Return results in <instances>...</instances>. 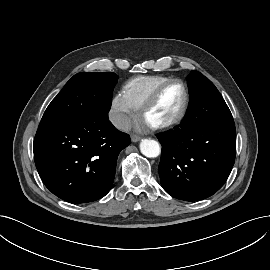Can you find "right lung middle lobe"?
<instances>
[{
	"label": "right lung middle lobe",
	"mask_w": 270,
	"mask_h": 270,
	"mask_svg": "<svg viewBox=\"0 0 270 270\" xmlns=\"http://www.w3.org/2000/svg\"><path fill=\"white\" fill-rule=\"evenodd\" d=\"M117 78L112 72L74 75L49 104L42 120L80 119L108 113Z\"/></svg>",
	"instance_id": "dd1d6c3e"
}]
</instances>
